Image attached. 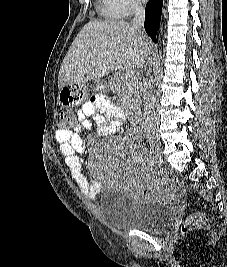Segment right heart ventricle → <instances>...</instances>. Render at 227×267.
I'll return each instance as SVG.
<instances>
[{
	"label": "right heart ventricle",
	"mask_w": 227,
	"mask_h": 267,
	"mask_svg": "<svg viewBox=\"0 0 227 267\" xmlns=\"http://www.w3.org/2000/svg\"><path fill=\"white\" fill-rule=\"evenodd\" d=\"M97 9L105 19L115 20L122 16V12L115 0H97Z\"/></svg>",
	"instance_id": "right-heart-ventricle-1"
}]
</instances>
